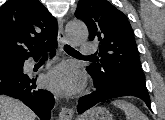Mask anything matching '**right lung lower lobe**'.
Wrapping results in <instances>:
<instances>
[{"instance_id": "obj_1", "label": "right lung lower lobe", "mask_w": 165, "mask_h": 120, "mask_svg": "<svg viewBox=\"0 0 165 120\" xmlns=\"http://www.w3.org/2000/svg\"><path fill=\"white\" fill-rule=\"evenodd\" d=\"M56 47L57 41L48 46L47 49H51V57L55 55ZM39 56L40 54L31 57L37 60ZM27 59L28 58L17 61L15 67L0 69V94L21 100L25 105L30 107L41 120H49L50 111L55 104L54 97L50 92L38 89L35 78L23 72V64Z\"/></svg>"}]
</instances>
